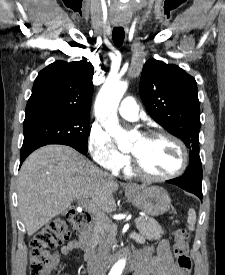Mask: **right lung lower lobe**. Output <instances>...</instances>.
Instances as JSON below:
<instances>
[{
	"mask_svg": "<svg viewBox=\"0 0 225 275\" xmlns=\"http://www.w3.org/2000/svg\"><path fill=\"white\" fill-rule=\"evenodd\" d=\"M47 144H58V143H47V142H32V143H28L22 146L21 149V154H20V165L22 164V162L26 159V157L33 152L35 149L42 147L44 145ZM66 145V144H65ZM74 148V147H73ZM76 150H78L79 152H81L82 154L86 155L87 152L86 151H82L80 149L75 148Z\"/></svg>",
	"mask_w": 225,
	"mask_h": 275,
	"instance_id": "1",
	"label": "right lung lower lobe"
}]
</instances>
